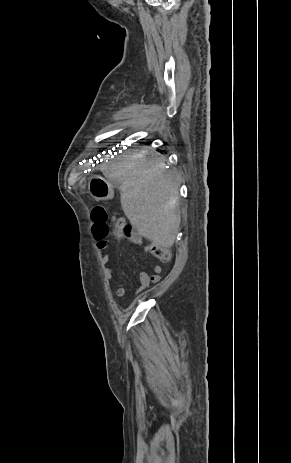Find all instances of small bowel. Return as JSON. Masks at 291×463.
I'll use <instances>...</instances> for the list:
<instances>
[{
	"label": "small bowel",
	"instance_id": "small-bowel-1",
	"mask_svg": "<svg viewBox=\"0 0 291 463\" xmlns=\"http://www.w3.org/2000/svg\"><path fill=\"white\" fill-rule=\"evenodd\" d=\"M129 240L136 244L142 246V239L139 234L133 233L132 236L129 238ZM108 246V243L105 248L106 249ZM144 250L147 254L151 255L150 252V247L145 245ZM102 261L105 264H109L111 262V258L109 255L104 254L102 256ZM162 271V266L159 263H156L154 266V271L152 274L147 273L145 270H141L139 273V291H142L149 287L151 284L157 283L160 281V274ZM115 270L112 267H107L105 269L104 275L107 279H112L114 276ZM127 290L125 287H119L115 290V295L118 299H122L126 296Z\"/></svg>",
	"mask_w": 291,
	"mask_h": 463
}]
</instances>
